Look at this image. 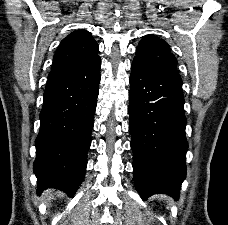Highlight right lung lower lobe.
<instances>
[{"label": "right lung lower lobe", "mask_w": 228, "mask_h": 225, "mask_svg": "<svg viewBox=\"0 0 228 225\" xmlns=\"http://www.w3.org/2000/svg\"><path fill=\"white\" fill-rule=\"evenodd\" d=\"M99 55L49 73L36 138L37 194L59 188L73 196L82 183L99 93Z\"/></svg>", "instance_id": "obj_1"}]
</instances>
